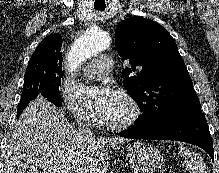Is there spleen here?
Listing matches in <instances>:
<instances>
[{
    "instance_id": "spleen-1",
    "label": "spleen",
    "mask_w": 219,
    "mask_h": 173,
    "mask_svg": "<svg viewBox=\"0 0 219 173\" xmlns=\"http://www.w3.org/2000/svg\"><path fill=\"white\" fill-rule=\"evenodd\" d=\"M179 154L183 157L184 165L190 173H207L205 164L197 154L183 146L179 147Z\"/></svg>"
}]
</instances>
